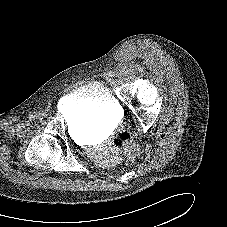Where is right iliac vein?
<instances>
[{
	"mask_svg": "<svg viewBox=\"0 0 227 227\" xmlns=\"http://www.w3.org/2000/svg\"><path fill=\"white\" fill-rule=\"evenodd\" d=\"M36 118L42 120L44 118V114L39 112V113H37Z\"/></svg>",
	"mask_w": 227,
	"mask_h": 227,
	"instance_id": "obj_1",
	"label": "right iliac vein"
}]
</instances>
